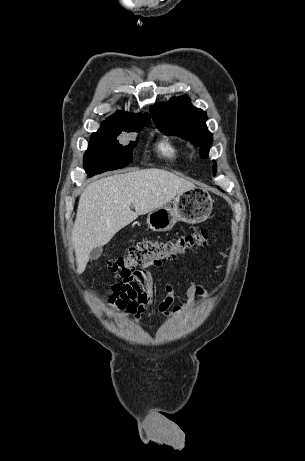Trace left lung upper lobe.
<instances>
[{"instance_id": "1", "label": "left lung upper lobe", "mask_w": 305, "mask_h": 461, "mask_svg": "<svg viewBox=\"0 0 305 461\" xmlns=\"http://www.w3.org/2000/svg\"><path fill=\"white\" fill-rule=\"evenodd\" d=\"M150 114L159 130L167 135H181L200 147L203 158L208 156L212 134L207 130V116L201 109L195 108L187 96L172 98L170 101L150 107ZM217 165H213L216 172ZM220 189V188H219Z\"/></svg>"}]
</instances>
